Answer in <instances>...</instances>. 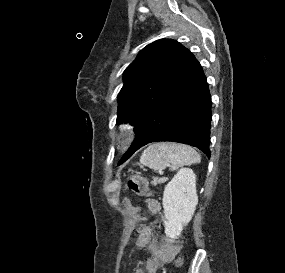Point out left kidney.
<instances>
[{"mask_svg":"<svg viewBox=\"0 0 285 273\" xmlns=\"http://www.w3.org/2000/svg\"><path fill=\"white\" fill-rule=\"evenodd\" d=\"M197 203L196 175L191 169L183 168L166 185L163 194L167 237L176 239L180 236L183 226L192 219Z\"/></svg>","mask_w":285,"mask_h":273,"instance_id":"left-kidney-1","label":"left kidney"}]
</instances>
